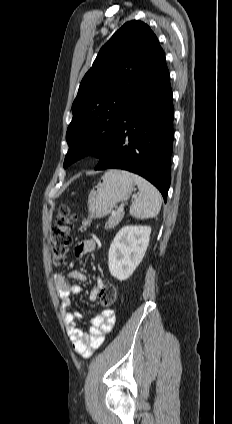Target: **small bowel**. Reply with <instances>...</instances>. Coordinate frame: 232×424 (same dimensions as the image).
Listing matches in <instances>:
<instances>
[{
  "mask_svg": "<svg viewBox=\"0 0 232 424\" xmlns=\"http://www.w3.org/2000/svg\"><path fill=\"white\" fill-rule=\"evenodd\" d=\"M97 242L94 238H84L74 247V254L78 258H83L89 253L95 251ZM78 282L87 281V275L81 271H71L64 275L61 272L53 276L55 289L61 300V316L66 325L67 333L74 351L84 358H89L104 342L105 336L111 331L115 323L114 311L106 309L101 311L92 319V324L88 332H84L77 325V320L82 317L78 311H72L71 297L80 294L82 287L78 284H72L70 280ZM104 285L101 278H97L94 288L89 293V298L95 301L98 297L100 288Z\"/></svg>",
  "mask_w": 232,
  "mask_h": 424,
  "instance_id": "1",
  "label": "small bowel"
}]
</instances>
